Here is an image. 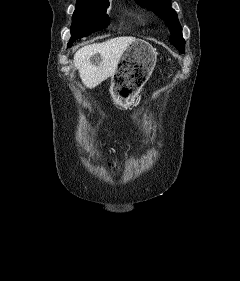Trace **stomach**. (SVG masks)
<instances>
[{"mask_svg": "<svg viewBox=\"0 0 240 281\" xmlns=\"http://www.w3.org/2000/svg\"><path fill=\"white\" fill-rule=\"evenodd\" d=\"M156 62V49L148 42L136 39L127 47L111 78L110 92L118 105L123 106L134 101L150 78Z\"/></svg>", "mask_w": 240, "mask_h": 281, "instance_id": "obj_1", "label": "stomach"}]
</instances>
